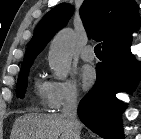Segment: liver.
<instances>
[{
    "label": "liver",
    "mask_w": 141,
    "mask_h": 139,
    "mask_svg": "<svg viewBox=\"0 0 141 139\" xmlns=\"http://www.w3.org/2000/svg\"><path fill=\"white\" fill-rule=\"evenodd\" d=\"M10 139H72L67 120L61 114H24L19 116Z\"/></svg>",
    "instance_id": "liver-1"
}]
</instances>
